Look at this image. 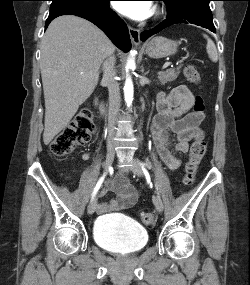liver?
I'll use <instances>...</instances> for the list:
<instances>
[{
  "mask_svg": "<svg viewBox=\"0 0 250 285\" xmlns=\"http://www.w3.org/2000/svg\"><path fill=\"white\" fill-rule=\"evenodd\" d=\"M114 49L108 37L85 19L66 15L50 23L41 42L40 58L46 145L92 94L100 66Z\"/></svg>",
  "mask_w": 250,
  "mask_h": 285,
  "instance_id": "1",
  "label": "liver"
}]
</instances>
